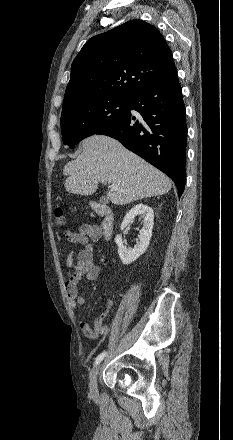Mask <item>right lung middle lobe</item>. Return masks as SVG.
I'll return each instance as SVG.
<instances>
[{"label": "right lung middle lobe", "instance_id": "obj_1", "mask_svg": "<svg viewBox=\"0 0 233 440\" xmlns=\"http://www.w3.org/2000/svg\"><path fill=\"white\" fill-rule=\"evenodd\" d=\"M129 99L92 98L62 109L61 131L64 145L74 148L82 139L98 134L127 110Z\"/></svg>", "mask_w": 233, "mask_h": 440}]
</instances>
